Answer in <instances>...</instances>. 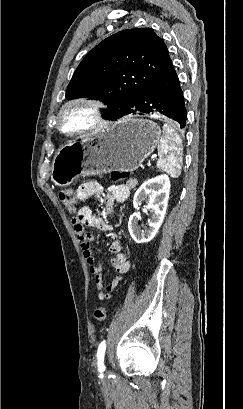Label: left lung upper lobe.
I'll use <instances>...</instances> for the list:
<instances>
[{"mask_svg": "<svg viewBox=\"0 0 243 409\" xmlns=\"http://www.w3.org/2000/svg\"><path fill=\"white\" fill-rule=\"evenodd\" d=\"M173 68L163 40L150 28L120 31L94 47L77 67L66 98H96L107 119L129 108L149 85Z\"/></svg>", "mask_w": 243, "mask_h": 409, "instance_id": "left-lung-upper-lobe-1", "label": "left lung upper lobe"}]
</instances>
